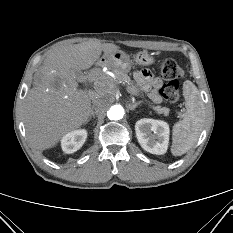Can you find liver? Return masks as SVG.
<instances>
[{
    "label": "liver",
    "mask_w": 233,
    "mask_h": 233,
    "mask_svg": "<svg viewBox=\"0 0 233 233\" xmlns=\"http://www.w3.org/2000/svg\"><path fill=\"white\" fill-rule=\"evenodd\" d=\"M102 51L112 54L119 46L89 41L59 46L46 56L24 102L26 135L33 148H51L65 134L87 123L91 98L78 89L75 72L89 69Z\"/></svg>",
    "instance_id": "1"
}]
</instances>
